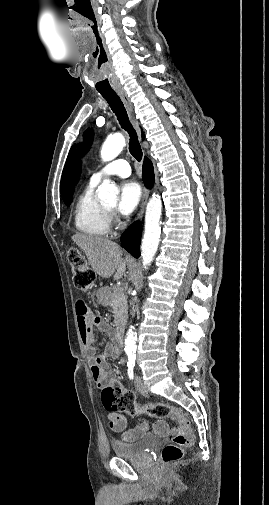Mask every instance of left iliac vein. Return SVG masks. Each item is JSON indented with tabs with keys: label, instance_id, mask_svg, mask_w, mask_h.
I'll return each mask as SVG.
<instances>
[{
	"label": "left iliac vein",
	"instance_id": "obj_1",
	"mask_svg": "<svg viewBox=\"0 0 269 505\" xmlns=\"http://www.w3.org/2000/svg\"><path fill=\"white\" fill-rule=\"evenodd\" d=\"M134 384H135L136 390L140 394L144 395L146 393V387H145L141 377L138 374L135 375Z\"/></svg>",
	"mask_w": 269,
	"mask_h": 505
}]
</instances>
